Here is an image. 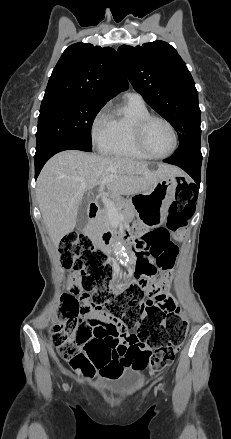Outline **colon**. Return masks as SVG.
I'll return each instance as SVG.
<instances>
[{
  "label": "colon",
  "instance_id": "1",
  "mask_svg": "<svg viewBox=\"0 0 231 439\" xmlns=\"http://www.w3.org/2000/svg\"><path fill=\"white\" fill-rule=\"evenodd\" d=\"M177 201L170 209L169 227L173 231L186 228L196 208V192L187 183L179 182L176 186ZM139 241L135 243L137 247ZM61 265L79 273L80 290L91 297L93 306L104 308L117 322L126 328L137 327L138 339L153 351L131 352L126 360H120L109 347L91 344V330L78 319L79 302L75 295L64 294L61 299L60 319L52 328V342L59 355L70 361L74 369L95 368L105 376L116 379L129 362L135 369L149 366L157 371L172 362L175 348L186 335V324L177 308L164 310L157 305H146L149 290H156L152 282L156 268H172L176 249H169L161 254L153 265L140 262L135 267L134 275L120 291L113 287L114 272L106 252L95 246L86 234H68L59 246ZM85 344L86 354L80 353Z\"/></svg>",
  "mask_w": 231,
  "mask_h": 439
}]
</instances>
